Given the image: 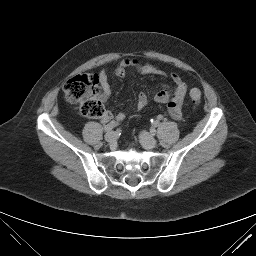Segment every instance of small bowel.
<instances>
[{
	"label": "small bowel",
	"mask_w": 256,
	"mask_h": 256,
	"mask_svg": "<svg viewBox=\"0 0 256 256\" xmlns=\"http://www.w3.org/2000/svg\"><path fill=\"white\" fill-rule=\"evenodd\" d=\"M128 67H134L137 69L139 73L142 75H158V76H165L166 74L154 66L153 64L149 62L141 63L136 59H124L122 60L117 68H116V74L119 76H123L125 74V71ZM170 78L174 84L173 89H162L158 91L154 96V101L156 103L166 104L167 109L171 117H173L176 120H179L182 115V108L184 99L187 93V84L182 79V77L176 73L172 72L170 74ZM100 84H101V94H100V100L102 102H107L111 96V85L108 79V75L105 71H101L99 74ZM148 103V97L146 93L140 92L137 95V101L136 105L139 110L143 109ZM125 117L124 113L120 112L118 113L115 118L117 120H123ZM113 118V115L111 112L106 111V114L104 115L102 121L107 122Z\"/></svg>",
	"instance_id": "1"
}]
</instances>
